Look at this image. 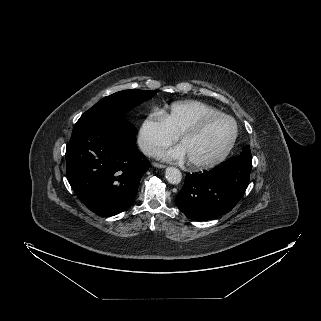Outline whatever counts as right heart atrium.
<instances>
[{
  "label": "right heart atrium",
  "mask_w": 321,
  "mask_h": 321,
  "mask_svg": "<svg viewBox=\"0 0 321 321\" xmlns=\"http://www.w3.org/2000/svg\"><path fill=\"white\" fill-rule=\"evenodd\" d=\"M175 139L176 136L165 126L160 112L150 113L140 125L138 143L147 155H152L159 149L169 146Z\"/></svg>",
  "instance_id": "1"
}]
</instances>
